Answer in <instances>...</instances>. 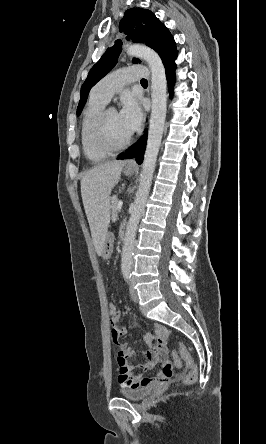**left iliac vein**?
Segmentation results:
<instances>
[{
  "mask_svg": "<svg viewBox=\"0 0 266 444\" xmlns=\"http://www.w3.org/2000/svg\"><path fill=\"white\" fill-rule=\"evenodd\" d=\"M129 290H130L131 299L134 302H138L139 301L138 293H137L136 289L134 288V286L132 284H130Z\"/></svg>",
  "mask_w": 266,
  "mask_h": 444,
  "instance_id": "1",
  "label": "left iliac vein"
}]
</instances>
